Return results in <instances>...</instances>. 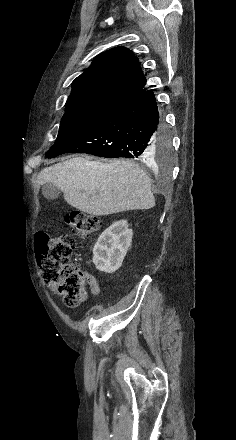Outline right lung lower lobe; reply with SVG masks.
Masks as SVG:
<instances>
[{
    "label": "right lung lower lobe",
    "instance_id": "right-lung-lower-lobe-1",
    "mask_svg": "<svg viewBox=\"0 0 236 440\" xmlns=\"http://www.w3.org/2000/svg\"><path fill=\"white\" fill-rule=\"evenodd\" d=\"M164 129L154 91L146 90L113 108L60 147L50 149L46 156L81 152L106 158L150 161L155 140Z\"/></svg>",
    "mask_w": 236,
    "mask_h": 440
}]
</instances>
